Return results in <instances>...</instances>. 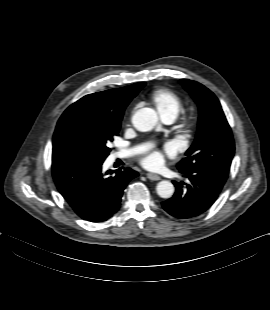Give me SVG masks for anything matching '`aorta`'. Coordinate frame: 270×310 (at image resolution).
Returning a JSON list of instances; mask_svg holds the SVG:
<instances>
[{
  "label": "aorta",
  "instance_id": "aorta-1",
  "mask_svg": "<svg viewBox=\"0 0 270 310\" xmlns=\"http://www.w3.org/2000/svg\"><path fill=\"white\" fill-rule=\"evenodd\" d=\"M132 123L139 131H150L158 126V116L153 109L142 108L134 113ZM156 191L161 198L167 199L174 194V186L170 181L163 180L157 184Z\"/></svg>",
  "mask_w": 270,
  "mask_h": 310
}]
</instances>
